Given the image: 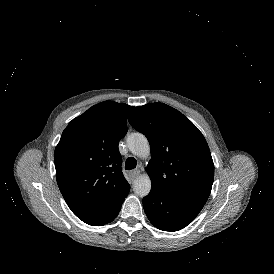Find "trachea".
I'll list each match as a JSON object with an SVG mask.
<instances>
[{"label": "trachea", "instance_id": "3493384b", "mask_svg": "<svg viewBox=\"0 0 274 274\" xmlns=\"http://www.w3.org/2000/svg\"><path fill=\"white\" fill-rule=\"evenodd\" d=\"M137 166V161L134 157H128L125 162V169L131 170L134 169Z\"/></svg>", "mask_w": 274, "mask_h": 274}]
</instances>
